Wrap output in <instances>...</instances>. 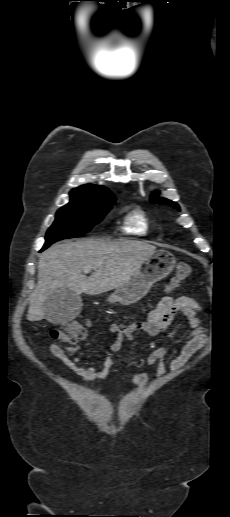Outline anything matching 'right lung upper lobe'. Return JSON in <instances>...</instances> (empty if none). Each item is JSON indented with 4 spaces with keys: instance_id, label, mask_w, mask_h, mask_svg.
<instances>
[{
    "instance_id": "obj_1",
    "label": "right lung upper lobe",
    "mask_w": 230,
    "mask_h": 517,
    "mask_svg": "<svg viewBox=\"0 0 230 517\" xmlns=\"http://www.w3.org/2000/svg\"><path fill=\"white\" fill-rule=\"evenodd\" d=\"M108 194H110V192L106 188H104L102 186L88 184V185H83L76 189H73L70 192V196H71L70 201L93 200V199L101 198Z\"/></svg>"
}]
</instances>
